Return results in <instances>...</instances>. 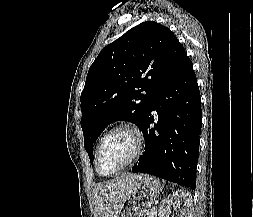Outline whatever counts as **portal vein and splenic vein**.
<instances>
[{
	"mask_svg": "<svg viewBox=\"0 0 253 217\" xmlns=\"http://www.w3.org/2000/svg\"><path fill=\"white\" fill-rule=\"evenodd\" d=\"M152 212L156 214L157 211L155 210V208H153V209H152Z\"/></svg>",
	"mask_w": 253,
	"mask_h": 217,
	"instance_id": "1",
	"label": "portal vein and splenic vein"
}]
</instances>
